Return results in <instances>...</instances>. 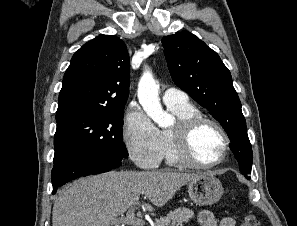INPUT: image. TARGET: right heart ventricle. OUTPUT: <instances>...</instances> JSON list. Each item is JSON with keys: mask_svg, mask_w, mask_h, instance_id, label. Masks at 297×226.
<instances>
[{"mask_svg": "<svg viewBox=\"0 0 297 226\" xmlns=\"http://www.w3.org/2000/svg\"><path fill=\"white\" fill-rule=\"evenodd\" d=\"M168 109L178 118V120L187 119L193 116L200 115L199 111L191 104L187 106H167ZM161 140L163 144V158L169 166L181 167L183 164L178 159L171 138L169 130L160 131Z\"/></svg>", "mask_w": 297, "mask_h": 226, "instance_id": "obj_1", "label": "right heart ventricle"}]
</instances>
